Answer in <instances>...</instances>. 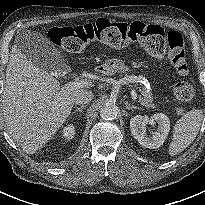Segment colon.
Masks as SVG:
<instances>
[{
	"instance_id": "colon-1",
	"label": "colon",
	"mask_w": 205,
	"mask_h": 205,
	"mask_svg": "<svg viewBox=\"0 0 205 205\" xmlns=\"http://www.w3.org/2000/svg\"><path fill=\"white\" fill-rule=\"evenodd\" d=\"M50 40L65 51L79 52L90 41H99L112 47H123L128 43H138L153 54L167 56L176 72L185 77L188 66L185 59L184 40L181 34L172 30L167 34L159 24L133 21L131 23L111 22L101 18L94 23L76 27H52L48 31ZM176 99L191 101L194 88L187 80H179L173 87Z\"/></svg>"
}]
</instances>
